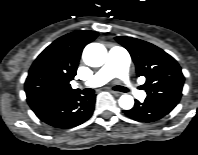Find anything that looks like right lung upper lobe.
Returning a JSON list of instances; mask_svg holds the SVG:
<instances>
[{"label": "right lung upper lobe", "instance_id": "1", "mask_svg": "<svg viewBox=\"0 0 198 155\" xmlns=\"http://www.w3.org/2000/svg\"><path fill=\"white\" fill-rule=\"evenodd\" d=\"M98 33L80 30L64 35L50 44L32 64L25 82L30 107L78 93L70 81L76 75L83 48Z\"/></svg>", "mask_w": 198, "mask_h": 155}]
</instances>
